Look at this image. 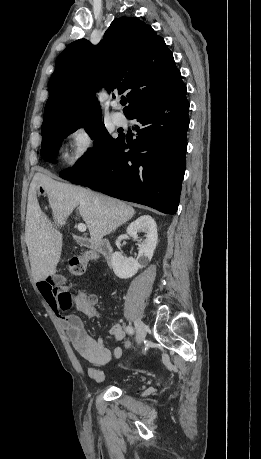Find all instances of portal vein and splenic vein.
Masks as SVG:
<instances>
[{
  "mask_svg": "<svg viewBox=\"0 0 261 459\" xmlns=\"http://www.w3.org/2000/svg\"><path fill=\"white\" fill-rule=\"evenodd\" d=\"M77 228H78V230H79L80 232H85L86 229H87L86 225L83 224V223H79V224L77 225Z\"/></svg>",
  "mask_w": 261,
  "mask_h": 459,
  "instance_id": "portal-vein-and-splenic-vein-1",
  "label": "portal vein and splenic vein"
}]
</instances>
